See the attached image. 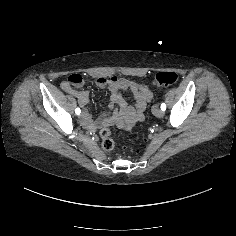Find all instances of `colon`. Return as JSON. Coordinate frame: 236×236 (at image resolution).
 Returning <instances> with one entry per match:
<instances>
[{
    "instance_id": "5ec220e1",
    "label": "colon",
    "mask_w": 236,
    "mask_h": 236,
    "mask_svg": "<svg viewBox=\"0 0 236 236\" xmlns=\"http://www.w3.org/2000/svg\"><path fill=\"white\" fill-rule=\"evenodd\" d=\"M177 74L171 71L159 72L153 85L155 86H170L177 82ZM67 81L72 86H82L84 84V78L80 74H72L68 77ZM103 82H106V79H102ZM100 137L102 139V147L105 151H111L114 148V141L110 137V132L108 129H102L100 131Z\"/></svg>"
}]
</instances>
